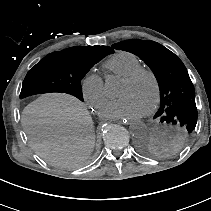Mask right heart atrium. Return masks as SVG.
Wrapping results in <instances>:
<instances>
[{
	"instance_id": "obj_1",
	"label": "right heart atrium",
	"mask_w": 211,
	"mask_h": 211,
	"mask_svg": "<svg viewBox=\"0 0 211 211\" xmlns=\"http://www.w3.org/2000/svg\"><path fill=\"white\" fill-rule=\"evenodd\" d=\"M81 93L91 108H99L106 100V86L101 75L90 72L81 80Z\"/></svg>"
}]
</instances>
